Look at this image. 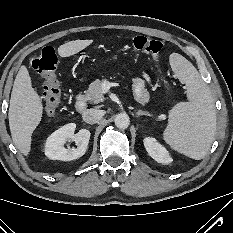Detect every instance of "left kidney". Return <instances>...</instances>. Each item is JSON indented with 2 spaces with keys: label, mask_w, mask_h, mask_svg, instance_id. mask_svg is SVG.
<instances>
[{
  "label": "left kidney",
  "mask_w": 233,
  "mask_h": 233,
  "mask_svg": "<svg viewBox=\"0 0 233 233\" xmlns=\"http://www.w3.org/2000/svg\"><path fill=\"white\" fill-rule=\"evenodd\" d=\"M144 146L148 154L157 162L162 164H170L173 160L165 147L160 145L155 138L146 137Z\"/></svg>",
  "instance_id": "1"
}]
</instances>
